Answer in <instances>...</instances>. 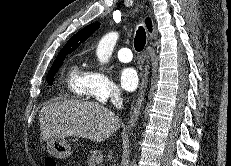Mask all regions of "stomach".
Masks as SVG:
<instances>
[{"label":"stomach","mask_w":231,"mask_h":166,"mask_svg":"<svg viewBox=\"0 0 231 166\" xmlns=\"http://www.w3.org/2000/svg\"><path fill=\"white\" fill-rule=\"evenodd\" d=\"M47 149L52 156L59 159H65L71 155V146L65 138L49 139Z\"/></svg>","instance_id":"stomach-1"}]
</instances>
